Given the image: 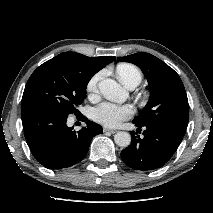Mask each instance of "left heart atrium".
<instances>
[{
  "label": "left heart atrium",
  "mask_w": 213,
  "mask_h": 213,
  "mask_svg": "<svg viewBox=\"0 0 213 213\" xmlns=\"http://www.w3.org/2000/svg\"><path fill=\"white\" fill-rule=\"evenodd\" d=\"M133 109L129 105H120L110 102H103L93 108L91 112L92 118L107 127H116L122 121L130 118Z\"/></svg>",
  "instance_id": "obj_1"
}]
</instances>
